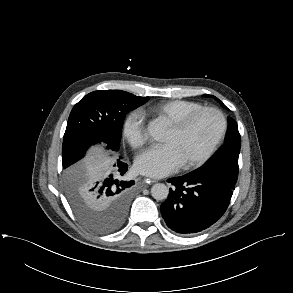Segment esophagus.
I'll return each mask as SVG.
<instances>
[{"label":"esophagus","instance_id":"34e87169","mask_svg":"<svg viewBox=\"0 0 293 293\" xmlns=\"http://www.w3.org/2000/svg\"><path fill=\"white\" fill-rule=\"evenodd\" d=\"M144 181H145V183H156L157 182L156 179H150V178H145Z\"/></svg>","mask_w":293,"mask_h":293}]
</instances>
